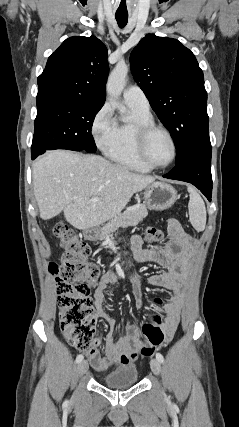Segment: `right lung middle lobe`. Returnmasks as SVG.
<instances>
[{
	"label": "right lung middle lobe",
	"instance_id": "dd1d6c3e",
	"mask_svg": "<svg viewBox=\"0 0 239 427\" xmlns=\"http://www.w3.org/2000/svg\"><path fill=\"white\" fill-rule=\"evenodd\" d=\"M102 106L63 99L37 100L32 157L54 149L95 153L91 128Z\"/></svg>",
	"mask_w": 239,
	"mask_h": 427
}]
</instances>
